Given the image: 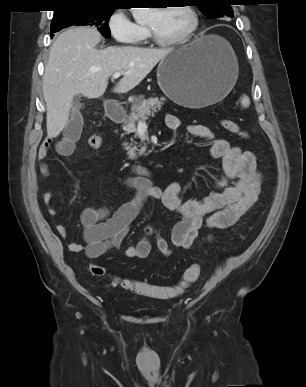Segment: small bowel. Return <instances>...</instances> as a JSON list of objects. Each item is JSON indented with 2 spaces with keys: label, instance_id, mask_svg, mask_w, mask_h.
<instances>
[{
  "label": "small bowel",
  "instance_id": "obj_1",
  "mask_svg": "<svg viewBox=\"0 0 306 387\" xmlns=\"http://www.w3.org/2000/svg\"><path fill=\"white\" fill-rule=\"evenodd\" d=\"M165 123L173 131L181 127L179 118L172 114L166 115ZM186 130L188 134L205 140L210 156L221 160L223 175L215 181L216 190L202 199L184 200L181 197L183 186L178 181L165 187H157L146 178H131L127 185L131 188L132 195L117 208L87 207L82 210L80 222L84 228V242L70 243L68 248L71 252L97 258L109 250L119 248L128 236L133 221L149 199L159 200L168 211L179 217L171 233V243L178 249H189L198 238L203 225L226 229L245 214L258 200L261 191V173L254 153L232 146L224 138L216 137L205 125L190 124ZM80 133L81 122L78 119L72 120L63 136L55 142L56 152L61 156L72 155ZM51 146V140H45L39 146V159L42 160L48 155ZM39 170L42 176H48L49 170L44 162L40 164ZM43 199L49 213L56 215L50 190L45 191ZM56 229L62 237L67 235L65 226L57 225ZM153 243L164 256L172 254L168 241L152 225L146 226L143 235L128 245L123 254L126 258L145 259L150 255Z\"/></svg>",
  "mask_w": 306,
  "mask_h": 387
}]
</instances>
